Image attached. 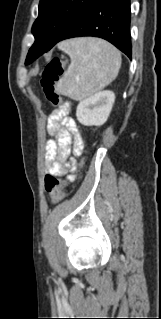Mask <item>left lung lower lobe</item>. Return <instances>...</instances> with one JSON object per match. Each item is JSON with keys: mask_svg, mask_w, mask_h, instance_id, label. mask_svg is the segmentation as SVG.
<instances>
[{"mask_svg": "<svg viewBox=\"0 0 161 319\" xmlns=\"http://www.w3.org/2000/svg\"><path fill=\"white\" fill-rule=\"evenodd\" d=\"M82 36L103 38L131 59L130 0H97L60 41ZM31 58L28 54L25 63Z\"/></svg>", "mask_w": 161, "mask_h": 319, "instance_id": "left-lung-lower-lobe-1", "label": "left lung lower lobe"}]
</instances>
